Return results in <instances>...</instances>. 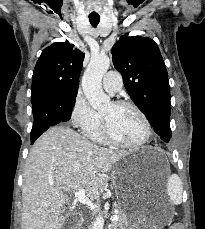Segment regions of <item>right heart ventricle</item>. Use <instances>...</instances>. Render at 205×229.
<instances>
[{"label":"right heart ventricle","instance_id":"right-heart-ventricle-1","mask_svg":"<svg viewBox=\"0 0 205 229\" xmlns=\"http://www.w3.org/2000/svg\"><path fill=\"white\" fill-rule=\"evenodd\" d=\"M87 137H89L91 140L98 142V143H104L106 142L103 132H102V120L100 117V121L90 130L85 132Z\"/></svg>","mask_w":205,"mask_h":229}]
</instances>
